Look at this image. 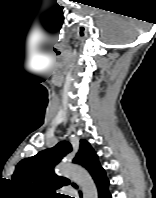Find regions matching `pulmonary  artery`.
<instances>
[{"mask_svg":"<svg viewBox=\"0 0 156 198\" xmlns=\"http://www.w3.org/2000/svg\"><path fill=\"white\" fill-rule=\"evenodd\" d=\"M72 187H66L65 190H72Z\"/></svg>","mask_w":156,"mask_h":198,"instance_id":"obj_1","label":"pulmonary artery"}]
</instances>
